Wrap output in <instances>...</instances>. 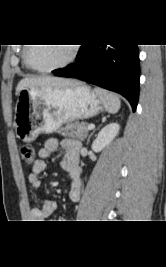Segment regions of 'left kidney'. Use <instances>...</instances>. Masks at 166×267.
Returning a JSON list of instances; mask_svg holds the SVG:
<instances>
[{
    "label": "left kidney",
    "mask_w": 166,
    "mask_h": 267,
    "mask_svg": "<svg viewBox=\"0 0 166 267\" xmlns=\"http://www.w3.org/2000/svg\"><path fill=\"white\" fill-rule=\"evenodd\" d=\"M119 129L120 126L117 123H110L102 128L92 143V150L95 152H100L105 147L109 146L118 135Z\"/></svg>",
    "instance_id": "5707ae66"
}]
</instances>
